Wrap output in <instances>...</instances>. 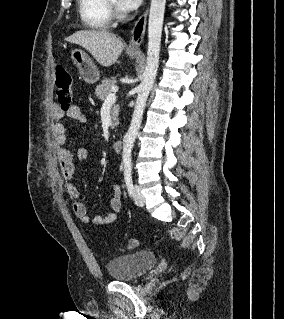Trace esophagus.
<instances>
[{
  "label": "esophagus",
  "instance_id": "esophagus-1",
  "mask_svg": "<svg viewBox=\"0 0 284 319\" xmlns=\"http://www.w3.org/2000/svg\"><path fill=\"white\" fill-rule=\"evenodd\" d=\"M148 9H146L141 16L135 22V25L131 32V38L127 50L130 52H139L140 46L143 42V38L146 30Z\"/></svg>",
  "mask_w": 284,
  "mask_h": 319
}]
</instances>
